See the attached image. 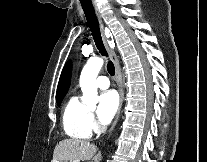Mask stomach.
<instances>
[{
    "mask_svg": "<svg viewBox=\"0 0 207 162\" xmlns=\"http://www.w3.org/2000/svg\"><path fill=\"white\" fill-rule=\"evenodd\" d=\"M56 162H65V161H60V160H57Z\"/></svg>",
    "mask_w": 207,
    "mask_h": 162,
    "instance_id": "1",
    "label": "stomach"
}]
</instances>
